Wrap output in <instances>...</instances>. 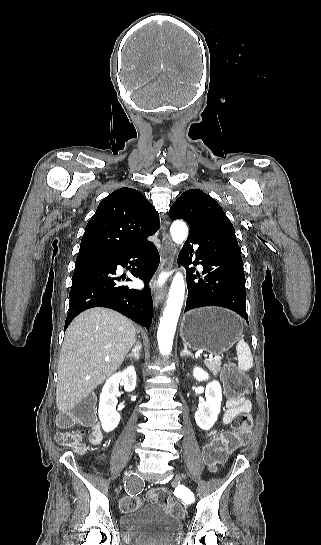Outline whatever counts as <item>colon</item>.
<instances>
[{"mask_svg": "<svg viewBox=\"0 0 321 545\" xmlns=\"http://www.w3.org/2000/svg\"><path fill=\"white\" fill-rule=\"evenodd\" d=\"M223 384L226 394L230 398L243 397L250 390V382L246 376L239 373L231 364L227 365L223 372ZM94 418V405L92 399L84 400L75 408L62 415L58 423L63 428H69L74 425L86 427L90 425ZM253 425L252 417L249 413L239 414L233 422L232 430L213 439L204 448V459L208 465L215 467L225 460V457L237 450L248 440ZM83 428L75 430H65L59 432L56 436L58 444L71 447L78 453H83ZM148 497L159 505L165 507L170 513L177 517L183 515L179 504L172 501L167 489L159 487L154 488L148 493ZM143 504V499L137 495H128L120 502V509L124 512L134 510Z\"/></svg>", "mask_w": 321, "mask_h": 545, "instance_id": "1", "label": "colon"}]
</instances>
